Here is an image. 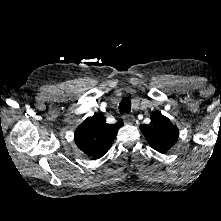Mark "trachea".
Instances as JSON below:
<instances>
[{
    "mask_svg": "<svg viewBox=\"0 0 221 221\" xmlns=\"http://www.w3.org/2000/svg\"><path fill=\"white\" fill-rule=\"evenodd\" d=\"M131 110V100L129 98H124L119 104V112L121 114L130 113Z\"/></svg>",
    "mask_w": 221,
    "mask_h": 221,
    "instance_id": "3493384b",
    "label": "trachea"
}]
</instances>
